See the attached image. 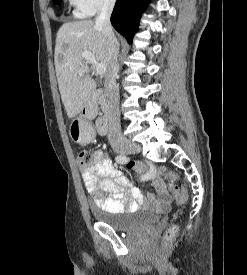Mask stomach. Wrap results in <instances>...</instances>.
I'll return each instance as SVG.
<instances>
[{
    "label": "stomach",
    "mask_w": 247,
    "mask_h": 275,
    "mask_svg": "<svg viewBox=\"0 0 247 275\" xmlns=\"http://www.w3.org/2000/svg\"><path fill=\"white\" fill-rule=\"evenodd\" d=\"M69 134L74 142L80 144L89 142L94 136L91 126L79 119L71 123Z\"/></svg>",
    "instance_id": "obj_1"
}]
</instances>
